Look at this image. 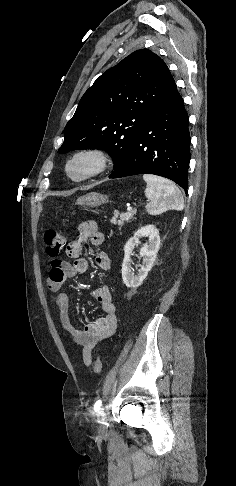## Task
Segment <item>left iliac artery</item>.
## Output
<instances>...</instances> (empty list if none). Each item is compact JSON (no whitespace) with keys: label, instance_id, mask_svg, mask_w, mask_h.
<instances>
[{"label":"left iliac artery","instance_id":"44dca946","mask_svg":"<svg viewBox=\"0 0 236 486\" xmlns=\"http://www.w3.org/2000/svg\"><path fill=\"white\" fill-rule=\"evenodd\" d=\"M101 405H102V401L101 400L96 401V403L94 405V410L95 411H98L100 409Z\"/></svg>","mask_w":236,"mask_h":486}]
</instances>
